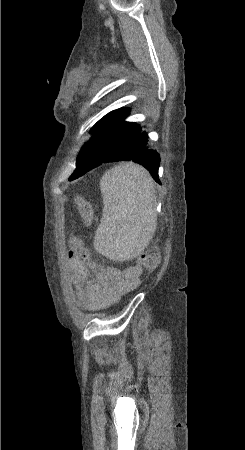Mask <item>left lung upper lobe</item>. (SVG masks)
Returning a JSON list of instances; mask_svg holds the SVG:
<instances>
[{
	"label": "left lung upper lobe",
	"instance_id": "obj_1",
	"mask_svg": "<svg viewBox=\"0 0 245 450\" xmlns=\"http://www.w3.org/2000/svg\"><path fill=\"white\" fill-rule=\"evenodd\" d=\"M129 111L130 110L128 108H120L105 115L92 128L91 132L93 136L87 145L93 147L105 146L109 147V149L120 148L127 142L134 139L141 131V128L136 123L124 121V119L128 116ZM101 156L102 154L96 157L94 156V158L88 160L81 153L77 157L76 170L71 177L97 165Z\"/></svg>",
	"mask_w": 245,
	"mask_h": 450
}]
</instances>
